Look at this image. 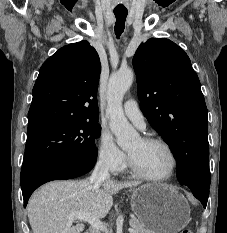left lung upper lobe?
<instances>
[{
	"label": "left lung upper lobe",
	"mask_w": 227,
	"mask_h": 233,
	"mask_svg": "<svg viewBox=\"0 0 227 233\" xmlns=\"http://www.w3.org/2000/svg\"><path fill=\"white\" fill-rule=\"evenodd\" d=\"M133 66L141 110L170 146L180 184L209 193L207 107L188 55L169 39L151 38Z\"/></svg>",
	"instance_id": "5c2ea615"
}]
</instances>
